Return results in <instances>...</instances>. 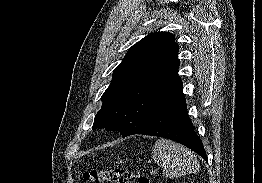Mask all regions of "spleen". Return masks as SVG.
<instances>
[{
  "instance_id": "obj_1",
  "label": "spleen",
  "mask_w": 262,
  "mask_h": 183,
  "mask_svg": "<svg viewBox=\"0 0 262 183\" xmlns=\"http://www.w3.org/2000/svg\"><path fill=\"white\" fill-rule=\"evenodd\" d=\"M152 158L163 168L164 176L171 179L191 174L198 169L197 158L190 150L167 139L155 142Z\"/></svg>"
}]
</instances>
